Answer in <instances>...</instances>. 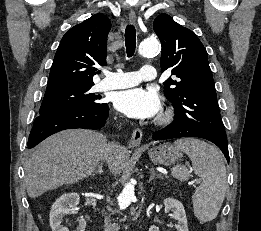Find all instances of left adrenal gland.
<instances>
[{
  "mask_svg": "<svg viewBox=\"0 0 261 231\" xmlns=\"http://www.w3.org/2000/svg\"><path fill=\"white\" fill-rule=\"evenodd\" d=\"M155 177L162 178L161 174H157L154 168L150 169V178L148 182H151Z\"/></svg>",
  "mask_w": 261,
  "mask_h": 231,
  "instance_id": "1",
  "label": "left adrenal gland"
}]
</instances>
